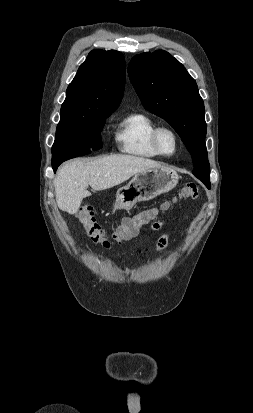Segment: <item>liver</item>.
Returning <instances> with one entry per match:
<instances>
[{
  "label": "liver",
  "instance_id": "6515ba94",
  "mask_svg": "<svg viewBox=\"0 0 253 413\" xmlns=\"http://www.w3.org/2000/svg\"><path fill=\"white\" fill-rule=\"evenodd\" d=\"M164 167L159 162L130 155H111L94 160L69 162L61 167L54 179L56 202L60 210L74 214L82 200L94 190H106L119 185L135 174Z\"/></svg>",
  "mask_w": 253,
  "mask_h": 413
}]
</instances>
